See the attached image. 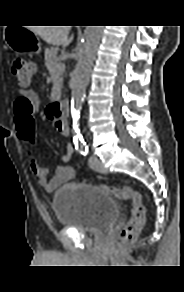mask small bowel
Wrapping results in <instances>:
<instances>
[{"label":"small bowel","mask_w":184,"mask_h":292,"mask_svg":"<svg viewBox=\"0 0 184 292\" xmlns=\"http://www.w3.org/2000/svg\"><path fill=\"white\" fill-rule=\"evenodd\" d=\"M54 125L62 135L64 136L69 135L70 129L65 123L57 121L55 122ZM16 129L19 139L26 146L27 152L31 157L30 161L31 171L34 174L37 181L39 182V184L42 185L47 191H53L60 187L61 185L65 184L66 182L70 181L72 178H74L75 171L69 165L58 166L54 175L51 178H49L48 170L40 166L37 160L32 156L31 144L21 133L17 124ZM73 151H74L73 146L71 144H68L66 146L65 154L61 157V161L63 163H67L70 160Z\"/></svg>","instance_id":"1"}]
</instances>
